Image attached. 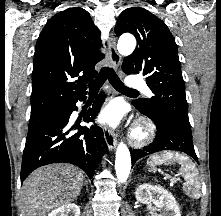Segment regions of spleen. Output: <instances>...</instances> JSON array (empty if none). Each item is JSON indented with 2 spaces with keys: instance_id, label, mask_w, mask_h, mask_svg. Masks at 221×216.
Masks as SVG:
<instances>
[{
  "instance_id": "obj_1",
  "label": "spleen",
  "mask_w": 221,
  "mask_h": 216,
  "mask_svg": "<svg viewBox=\"0 0 221 216\" xmlns=\"http://www.w3.org/2000/svg\"><path fill=\"white\" fill-rule=\"evenodd\" d=\"M179 163L181 165L180 172L185 180L184 191L186 195L195 199L200 197V181L198 177V170L190 158L185 155L174 153L171 151H164L160 154H155L149 157L147 164L151 167L163 164Z\"/></svg>"
}]
</instances>
